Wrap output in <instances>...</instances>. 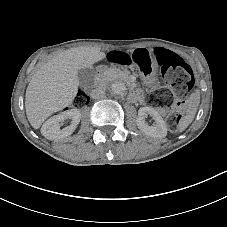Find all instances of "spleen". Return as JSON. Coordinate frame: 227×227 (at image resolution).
I'll use <instances>...</instances> for the list:
<instances>
[{
  "label": "spleen",
  "mask_w": 227,
  "mask_h": 227,
  "mask_svg": "<svg viewBox=\"0 0 227 227\" xmlns=\"http://www.w3.org/2000/svg\"><path fill=\"white\" fill-rule=\"evenodd\" d=\"M193 118H194L193 114H188V115H185L184 117H182V119L180 120V122L177 126V130L179 132L184 131L190 125V123L193 121Z\"/></svg>",
  "instance_id": "1"
}]
</instances>
